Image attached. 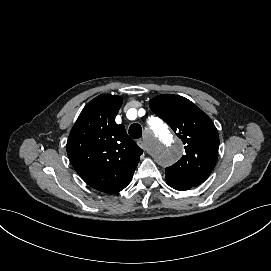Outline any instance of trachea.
Wrapping results in <instances>:
<instances>
[{
  "instance_id": "obj_1",
  "label": "trachea",
  "mask_w": 271,
  "mask_h": 271,
  "mask_svg": "<svg viewBox=\"0 0 271 271\" xmlns=\"http://www.w3.org/2000/svg\"><path fill=\"white\" fill-rule=\"evenodd\" d=\"M128 133L133 139H139L141 138L143 131L139 124L134 123L129 127Z\"/></svg>"
}]
</instances>
